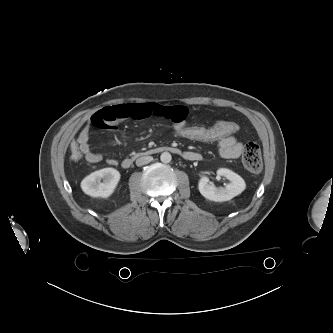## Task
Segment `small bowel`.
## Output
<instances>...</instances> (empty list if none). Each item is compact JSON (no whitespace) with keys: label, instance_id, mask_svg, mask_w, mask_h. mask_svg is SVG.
Segmentation results:
<instances>
[{"label":"small bowel","instance_id":"1","mask_svg":"<svg viewBox=\"0 0 333 333\" xmlns=\"http://www.w3.org/2000/svg\"><path fill=\"white\" fill-rule=\"evenodd\" d=\"M188 110L178 105H163L160 103H125L107 106L95 112L88 123L81 129L77 137V144L85 160L89 163H98L103 160L100 153L93 152L89 145L90 126L114 130L117 124L125 119H145L152 116L170 121L173 125L187 124ZM243 144L232 135L218 141V151L225 159H236L240 157ZM184 157L188 160H198L200 155L194 152H185ZM109 165H117L115 158H108Z\"/></svg>","mask_w":333,"mask_h":333}]
</instances>
